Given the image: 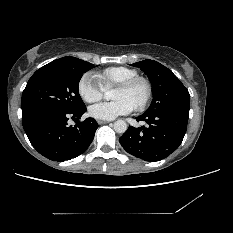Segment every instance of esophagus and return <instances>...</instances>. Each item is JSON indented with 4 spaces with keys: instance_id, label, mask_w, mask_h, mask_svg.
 Returning a JSON list of instances; mask_svg holds the SVG:
<instances>
[{
    "instance_id": "obj_1",
    "label": "esophagus",
    "mask_w": 233,
    "mask_h": 233,
    "mask_svg": "<svg viewBox=\"0 0 233 233\" xmlns=\"http://www.w3.org/2000/svg\"><path fill=\"white\" fill-rule=\"evenodd\" d=\"M97 122L99 125L110 123V121H105V120H98Z\"/></svg>"
}]
</instances>
